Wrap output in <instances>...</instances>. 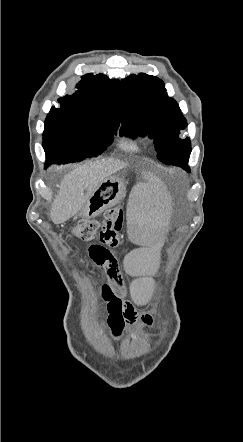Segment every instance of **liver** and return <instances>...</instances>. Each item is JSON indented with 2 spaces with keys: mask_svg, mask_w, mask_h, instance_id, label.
<instances>
[{
  "mask_svg": "<svg viewBox=\"0 0 243 442\" xmlns=\"http://www.w3.org/2000/svg\"><path fill=\"white\" fill-rule=\"evenodd\" d=\"M126 165L121 160L107 158L86 162L66 174L51 205L53 223H65L76 215L99 184Z\"/></svg>",
  "mask_w": 243,
  "mask_h": 442,
  "instance_id": "obj_1",
  "label": "liver"
}]
</instances>
